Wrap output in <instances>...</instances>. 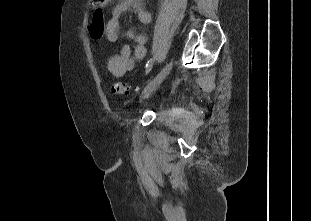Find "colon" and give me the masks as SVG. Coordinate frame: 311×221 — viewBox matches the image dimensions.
Wrapping results in <instances>:
<instances>
[{
  "instance_id": "colon-1",
  "label": "colon",
  "mask_w": 311,
  "mask_h": 221,
  "mask_svg": "<svg viewBox=\"0 0 311 221\" xmlns=\"http://www.w3.org/2000/svg\"><path fill=\"white\" fill-rule=\"evenodd\" d=\"M106 28L103 12L101 10L94 12L93 20L89 25V31L92 37L95 39L102 38ZM131 91L130 87L122 82L114 83L111 88L113 94L127 95L130 94Z\"/></svg>"
}]
</instances>
